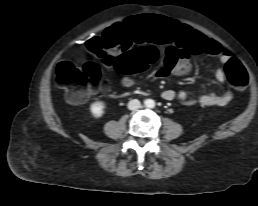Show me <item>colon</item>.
I'll return each mask as SVG.
<instances>
[{"label":"colon","instance_id":"colon-1","mask_svg":"<svg viewBox=\"0 0 258 206\" xmlns=\"http://www.w3.org/2000/svg\"><path fill=\"white\" fill-rule=\"evenodd\" d=\"M118 33H121L119 27ZM89 46L91 55L82 66L70 61H63L57 66L56 82L65 89L66 98L72 104L84 102L98 88L104 87L101 65L121 73H139L151 66L157 58V51L153 47L136 49L115 57L106 51L99 40L90 41ZM225 74L235 89H246L248 74L239 60L230 58L225 63Z\"/></svg>","mask_w":258,"mask_h":206}]
</instances>
